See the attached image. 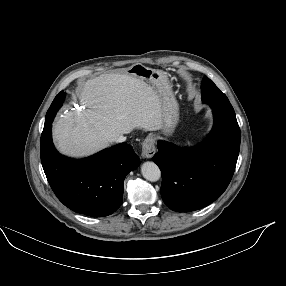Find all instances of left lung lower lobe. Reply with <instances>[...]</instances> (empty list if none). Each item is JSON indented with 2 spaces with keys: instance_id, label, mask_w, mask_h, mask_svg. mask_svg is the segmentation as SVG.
I'll list each match as a JSON object with an SVG mask.
<instances>
[{
  "instance_id": "obj_1",
  "label": "left lung lower lobe",
  "mask_w": 286,
  "mask_h": 286,
  "mask_svg": "<svg viewBox=\"0 0 286 286\" xmlns=\"http://www.w3.org/2000/svg\"><path fill=\"white\" fill-rule=\"evenodd\" d=\"M214 126L204 141L180 148L159 141L153 161L162 172L161 196L177 212L201 209L215 201L233 176L240 149V128L235 113L211 106Z\"/></svg>"
}]
</instances>
